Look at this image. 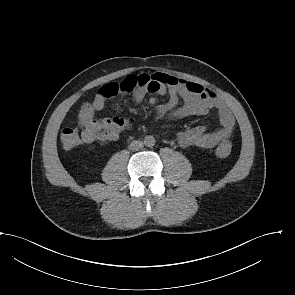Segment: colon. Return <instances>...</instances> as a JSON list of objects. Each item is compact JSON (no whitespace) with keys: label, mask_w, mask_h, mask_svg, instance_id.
<instances>
[{"label":"colon","mask_w":295,"mask_h":295,"mask_svg":"<svg viewBox=\"0 0 295 295\" xmlns=\"http://www.w3.org/2000/svg\"><path fill=\"white\" fill-rule=\"evenodd\" d=\"M138 79L135 75L128 76L121 83H109L104 85L99 93L105 98L113 97L122 92H131L137 87ZM63 147L67 150L73 149L81 143L82 131L77 127H65L60 135ZM232 150V145L229 141L222 142L216 149L218 157L225 158L229 156Z\"/></svg>","instance_id":"colon-1"}]
</instances>
